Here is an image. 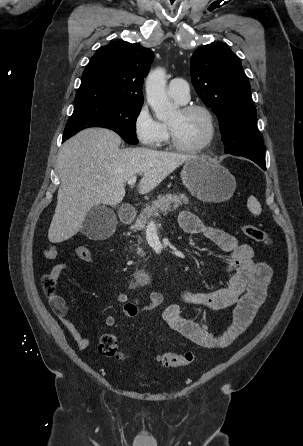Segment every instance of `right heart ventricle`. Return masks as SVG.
<instances>
[{"instance_id":"e07e8e85","label":"right heart ventricle","mask_w":303,"mask_h":446,"mask_svg":"<svg viewBox=\"0 0 303 446\" xmlns=\"http://www.w3.org/2000/svg\"><path fill=\"white\" fill-rule=\"evenodd\" d=\"M176 100V99H175ZM177 102H179V103H182V102H180V101H178V100H176ZM163 126L165 127V129H166V131H167V127L163 124Z\"/></svg>"}]
</instances>
